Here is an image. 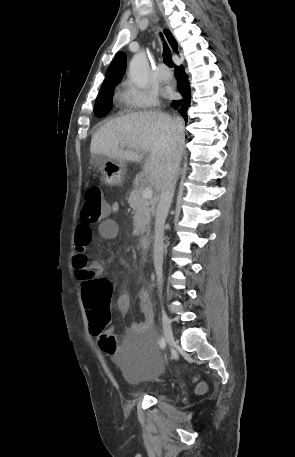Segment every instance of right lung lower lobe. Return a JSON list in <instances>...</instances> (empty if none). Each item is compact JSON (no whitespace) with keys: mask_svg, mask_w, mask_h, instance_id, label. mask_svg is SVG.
<instances>
[{"mask_svg":"<svg viewBox=\"0 0 295 457\" xmlns=\"http://www.w3.org/2000/svg\"><path fill=\"white\" fill-rule=\"evenodd\" d=\"M175 73L178 81V91L182 95V99L175 100L172 103V106L180 112V114L187 122V110L190 107L191 102V91L189 86V81L187 75L184 73L183 66H175Z\"/></svg>","mask_w":295,"mask_h":457,"instance_id":"1","label":"right lung lower lobe"}]
</instances>
